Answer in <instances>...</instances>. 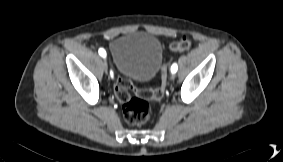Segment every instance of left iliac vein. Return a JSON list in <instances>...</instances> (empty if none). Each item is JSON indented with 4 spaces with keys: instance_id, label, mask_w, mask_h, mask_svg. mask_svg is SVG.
I'll use <instances>...</instances> for the list:
<instances>
[{
    "instance_id": "left-iliac-vein-1",
    "label": "left iliac vein",
    "mask_w": 283,
    "mask_h": 162,
    "mask_svg": "<svg viewBox=\"0 0 283 162\" xmlns=\"http://www.w3.org/2000/svg\"><path fill=\"white\" fill-rule=\"evenodd\" d=\"M175 78V74L174 73H172V75H171V79H174Z\"/></svg>"
}]
</instances>
